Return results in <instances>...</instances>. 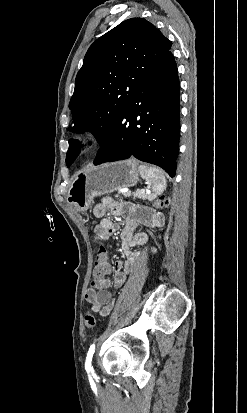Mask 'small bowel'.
I'll use <instances>...</instances> for the list:
<instances>
[{"instance_id": "obj_1", "label": "small bowel", "mask_w": 247, "mask_h": 413, "mask_svg": "<svg viewBox=\"0 0 247 413\" xmlns=\"http://www.w3.org/2000/svg\"><path fill=\"white\" fill-rule=\"evenodd\" d=\"M107 211L125 218V224L120 233L124 259L116 260L112 265L110 264L109 269V274L113 272L114 287L120 289L125 284L127 275L137 268L140 252L133 251L132 248L146 244L149 239L147 233L135 232L136 229L140 225L151 228L160 227L163 219L159 213L150 208L123 205L109 197H105L93 208V215L102 218L100 224L96 227V232L100 237L110 236L117 228L113 221L103 218ZM110 286L111 282L107 277H93L91 287L85 292V300L91 304L92 310L101 316H108L115 305L109 291Z\"/></svg>"}]
</instances>
